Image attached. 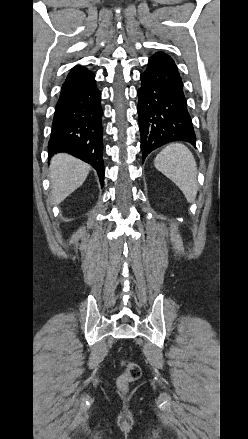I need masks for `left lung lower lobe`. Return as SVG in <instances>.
Wrapping results in <instances>:
<instances>
[{"mask_svg":"<svg viewBox=\"0 0 248 439\" xmlns=\"http://www.w3.org/2000/svg\"><path fill=\"white\" fill-rule=\"evenodd\" d=\"M140 80L137 110L143 162L150 152L172 141L195 146L183 82L172 58L162 52L154 54Z\"/></svg>","mask_w":248,"mask_h":439,"instance_id":"0a47b994","label":"left lung lower lobe"}]
</instances>
